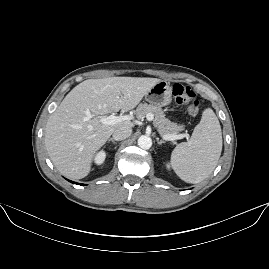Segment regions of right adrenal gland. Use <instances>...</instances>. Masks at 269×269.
<instances>
[{"mask_svg": "<svg viewBox=\"0 0 269 269\" xmlns=\"http://www.w3.org/2000/svg\"><path fill=\"white\" fill-rule=\"evenodd\" d=\"M107 143H112L114 145H118V142H115L113 139H108Z\"/></svg>", "mask_w": 269, "mask_h": 269, "instance_id": "right-adrenal-gland-1", "label": "right adrenal gland"}]
</instances>
